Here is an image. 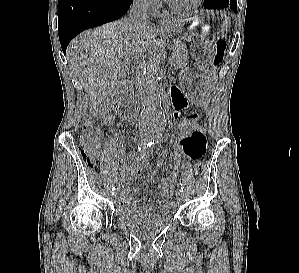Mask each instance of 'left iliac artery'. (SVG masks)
Wrapping results in <instances>:
<instances>
[{"label": "left iliac artery", "instance_id": "44dca946", "mask_svg": "<svg viewBox=\"0 0 299 273\" xmlns=\"http://www.w3.org/2000/svg\"><path fill=\"white\" fill-rule=\"evenodd\" d=\"M150 145H152V143L149 144V146H150ZM178 189H179L180 192H183V186H182V183H178Z\"/></svg>", "mask_w": 299, "mask_h": 273}]
</instances>
